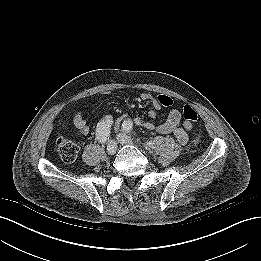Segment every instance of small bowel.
Segmentation results:
<instances>
[{
  "mask_svg": "<svg viewBox=\"0 0 261 261\" xmlns=\"http://www.w3.org/2000/svg\"><path fill=\"white\" fill-rule=\"evenodd\" d=\"M165 97H167V96H165ZM140 100L147 102L152 106V109L148 112V116L150 118H155L156 114H157L156 111L159 110L161 107L169 106V104L167 105V104H164L163 102H161L160 99L158 98V96H154L153 94H151L149 92H143L140 95ZM103 119H105V118H103ZM133 121L136 125L142 126L150 131H155L156 133H159V134H164V135L173 134L175 136L176 140L178 141V143L181 145H186L188 143L187 132L189 130H191L193 127V123H189L185 120L181 124V113L176 108H172L169 111L166 120L159 125H154L152 122L146 121L142 117H139V116L135 117ZM74 124L80 130V133L82 135L89 134L90 129L84 119L82 108L76 109L75 115H74Z\"/></svg>",
  "mask_w": 261,
  "mask_h": 261,
  "instance_id": "small-bowel-1",
  "label": "small bowel"
}]
</instances>
